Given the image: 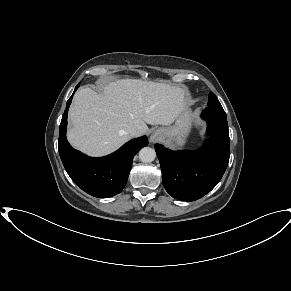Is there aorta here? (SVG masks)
I'll return each mask as SVG.
<instances>
[{"mask_svg": "<svg viewBox=\"0 0 291 291\" xmlns=\"http://www.w3.org/2000/svg\"><path fill=\"white\" fill-rule=\"evenodd\" d=\"M156 157V152L153 148L144 147L139 152V159L144 163H149L154 161Z\"/></svg>", "mask_w": 291, "mask_h": 291, "instance_id": "762f6f07", "label": "aorta"}]
</instances>
